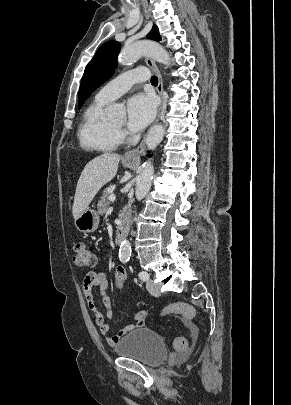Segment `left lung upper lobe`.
<instances>
[{
	"instance_id": "obj_1",
	"label": "left lung upper lobe",
	"mask_w": 291,
	"mask_h": 405,
	"mask_svg": "<svg viewBox=\"0 0 291 405\" xmlns=\"http://www.w3.org/2000/svg\"><path fill=\"white\" fill-rule=\"evenodd\" d=\"M147 37L155 41L161 40L156 25L153 26ZM120 47L121 44L119 42L108 41L98 49L93 59L88 63L80 85L79 108H81L86 99L97 87L111 77L116 67Z\"/></svg>"
}]
</instances>
